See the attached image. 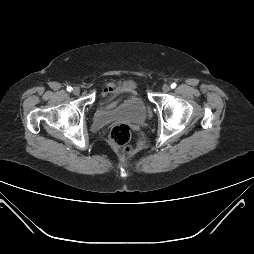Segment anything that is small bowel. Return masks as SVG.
<instances>
[{"mask_svg": "<svg viewBox=\"0 0 254 254\" xmlns=\"http://www.w3.org/2000/svg\"><path fill=\"white\" fill-rule=\"evenodd\" d=\"M135 89L136 83L131 80L122 83H108L101 92V97L103 98L101 105L104 108H112L116 106L118 98L122 94H135Z\"/></svg>", "mask_w": 254, "mask_h": 254, "instance_id": "c3829d8e", "label": "small bowel"}]
</instances>
